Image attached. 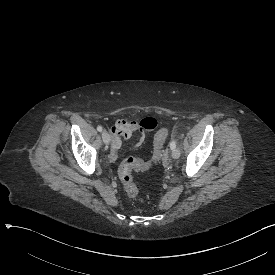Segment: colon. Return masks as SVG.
<instances>
[{"mask_svg": "<svg viewBox=\"0 0 275 275\" xmlns=\"http://www.w3.org/2000/svg\"><path fill=\"white\" fill-rule=\"evenodd\" d=\"M168 134L169 130L167 128H160L156 132L153 139L152 155L147 161L129 157L121 164L119 169V180L129 197H136L139 193L138 186L133 180V172L143 170L150 171L157 167L163 156L164 142L167 140Z\"/></svg>", "mask_w": 275, "mask_h": 275, "instance_id": "colon-1", "label": "colon"}]
</instances>
